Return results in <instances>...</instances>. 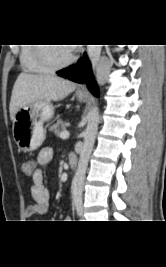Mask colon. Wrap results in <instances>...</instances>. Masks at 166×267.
<instances>
[{
	"label": "colon",
	"instance_id": "5ec220e1",
	"mask_svg": "<svg viewBox=\"0 0 166 267\" xmlns=\"http://www.w3.org/2000/svg\"><path fill=\"white\" fill-rule=\"evenodd\" d=\"M35 163L33 161H26L22 165V169L26 174H30L34 169Z\"/></svg>",
	"mask_w": 166,
	"mask_h": 267
}]
</instances>
